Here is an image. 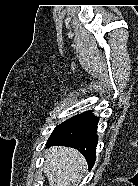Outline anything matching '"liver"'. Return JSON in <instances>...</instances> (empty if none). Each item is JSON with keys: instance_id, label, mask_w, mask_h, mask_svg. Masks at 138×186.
Instances as JSON below:
<instances>
[{"instance_id": "liver-1", "label": "liver", "mask_w": 138, "mask_h": 186, "mask_svg": "<svg viewBox=\"0 0 138 186\" xmlns=\"http://www.w3.org/2000/svg\"><path fill=\"white\" fill-rule=\"evenodd\" d=\"M45 156L44 172L49 186H74L86 172L84 156L73 148L51 147Z\"/></svg>"}]
</instances>
